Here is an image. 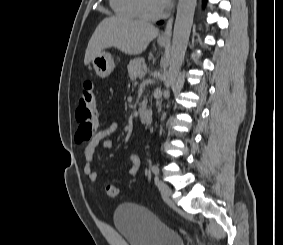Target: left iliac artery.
I'll return each instance as SVG.
<instances>
[{"label":"left iliac artery","instance_id":"44dca946","mask_svg":"<svg viewBox=\"0 0 283 245\" xmlns=\"http://www.w3.org/2000/svg\"><path fill=\"white\" fill-rule=\"evenodd\" d=\"M151 170H152L153 174L156 175L155 182L157 183V180H158L157 175L159 173L158 165H156V164L152 165Z\"/></svg>","mask_w":283,"mask_h":245}]
</instances>
